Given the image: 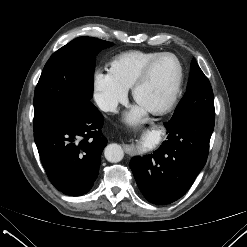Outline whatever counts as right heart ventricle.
<instances>
[{"label":"right heart ventricle","mask_w":247,"mask_h":247,"mask_svg":"<svg viewBox=\"0 0 247 247\" xmlns=\"http://www.w3.org/2000/svg\"><path fill=\"white\" fill-rule=\"evenodd\" d=\"M159 52L128 51L116 56L109 64V72L127 90L145 67Z\"/></svg>","instance_id":"e07e8e85"}]
</instances>
